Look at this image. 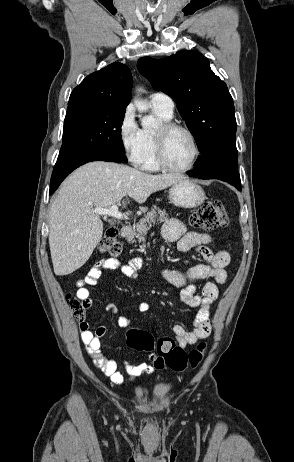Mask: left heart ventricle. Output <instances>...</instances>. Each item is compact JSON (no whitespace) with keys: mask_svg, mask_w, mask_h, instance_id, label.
Here are the masks:
<instances>
[{"mask_svg":"<svg viewBox=\"0 0 294 462\" xmlns=\"http://www.w3.org/2000/svg\"><path fill=\"white\" fill-rule=\"evenodd\" d=\"M194 153V147L189 136L183 131L172 132L166 142L167 162L176 168L187 166Z\"/></svg>","mask_w":294,"mask_h":462,"instance_id":"1","label":"left heart ventricle"}]
</instances>
